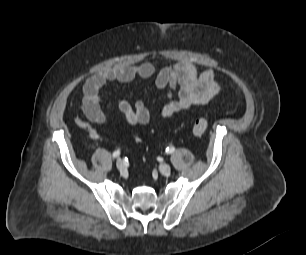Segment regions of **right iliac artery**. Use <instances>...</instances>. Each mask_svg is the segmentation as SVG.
Returning a JSON list of instances; mask_svg holds the SVG:
<instances>
[{"label":"right iliac artery","mask_w":306,"mask_h":255,"mask_svg":"<svg viewBox=\"0 0 306 255\" xmlns=\"http://www.w3.org/2000/svg\"><path fill=\"white\" fill-rule=\"evenodd\" d=\"M120 155V150H116L113 152V158H117Z\"/></svg>","instance_id":"right-iliac-artery-1"}]
</instances>
